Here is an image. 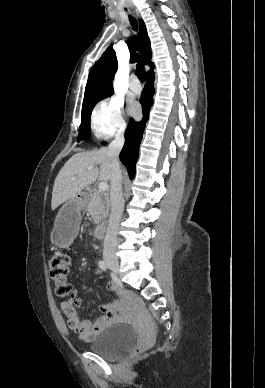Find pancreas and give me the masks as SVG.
I'll list each match as a JSON object with an SVG mask.
<instances>
[{
  "label": "pancreas",
  "instance_id": "obj_1",
  "mask_svg": "<svg viewBox=\"0 0 265 388\" xmlns=\"http://www.w3.org/2000/svg\"><path fill=\"white\" fill-rule=\"evenodd\" d=\"M109 198L107 194H102L100 190L91 194L90 200L86 206L87 212L91 214L94 224H100L109 214Z\"/></svg>",
  "mask_w": 265,
  "mask_h": 388
}]
</instances>
